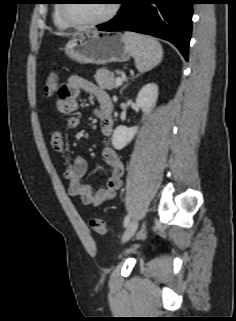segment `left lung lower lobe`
Returning <instances> with one entry per match:
<instances>
[{
  "instance_id": "left-lung-lower-lobe-1",
  "label": "left lung lower lobe",
  "mask_w": 236,
  "mask_h": 321,
  "mask_svg": "<svg viewBox=\"0 0 236 321\" xmlns=\"http://www.w3.org/2000/svg\"><path fill=\"white\" fill-rule=\"evenodd\" d=\"M118 14L101 31L127 30L167 40L188 60L194 0H120Z\"/></svg>"
}]
</instances>
